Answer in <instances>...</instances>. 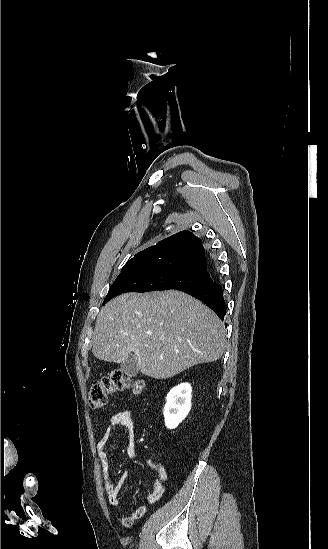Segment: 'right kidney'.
I'll list each match as a JSON object with an SVG mask.
<instances>
[{
	"instance_id": "ca27d5eb",
	"label": "right kidney",
	"mask_w": 328,
	"mask_h": 549,
	"mask_svg": "<svg viewBox=\"0 0 328 549\" xmlns=\"http://www.w3.org/2000/svg\"><path fill=\"white\" fill-rule=\"evenodd\" d=\"M191 393L192 389L189 383H181L169 391L163 411L165 425L168 429H175L187 417L191 409Z\"/></svg>"
}]
</instances>
